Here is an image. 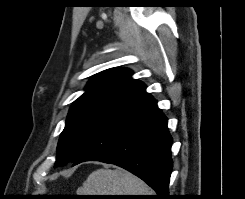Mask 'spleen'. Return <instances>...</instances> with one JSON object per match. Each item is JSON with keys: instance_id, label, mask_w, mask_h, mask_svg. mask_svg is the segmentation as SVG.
<instances>
[{"instance_id": "1", "label": "spleen", "mask_w": 245, "mask_h": 199, "mask_svg": "<svg viewBox=\"0 0 245 199\" xmlns=\"http://www.w3.org/2000/svg\"><path fill=\"white\" fill-rule=\"evenodd\" d=\"M78 195H153L148 186L131 173L117 169L92 172Z\"/></svg>"}]
</instances>
